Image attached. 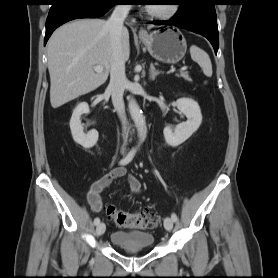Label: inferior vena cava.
I'll return each instance as SVG.
<instances>
[{
    "label": "inferior vena cava",
    "mask_w": 278,
    "mask_h": 278,
    "mask_svg": "<svg viewBox=\"0 0 278 278\" xmlns=\"http://www.w3.org/2000/svg\"><path fill=\"white\" fill-rule=\"evenodd\" d=\"M130 11V5H117L106 22L110 31L112 64L110 70V83L108 89L112 95V103L120 119L125 120V105L123 94L127 78L125 75V61L122 55L121 35L123 23Z\"/></svg>",
    "instance_id": "1"
}]
</instances>
